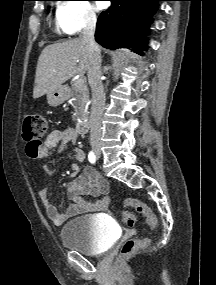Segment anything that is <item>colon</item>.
Here are the masks:
<instances>
[{
  "instance_id": "1",
  "label": "colon",
  "mask_w": 216,
  "mask_h": 285,
  "mask_svg": "<svg viewBox=\"0 0 216 285\" xmlns=\"http://www.w3.org/2000/svg\"><path fill=\"white\" fill-rule=\"evenodd\" d=\"M48 130L47 119L36 113L25 116L22 126V137L26 142V150L30 157H37L42 150V138ZM124 210L122 211V220L128 226H133L136 222V214L134 210L142 214L150 228L157 226V217L154 212L143 202L127 198L123 202ZM147 240L128 239L120 249V258H124L144 247Z\"/></svg>"
}]
</instances>
